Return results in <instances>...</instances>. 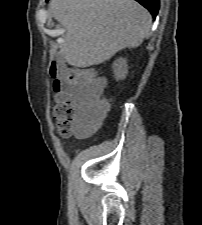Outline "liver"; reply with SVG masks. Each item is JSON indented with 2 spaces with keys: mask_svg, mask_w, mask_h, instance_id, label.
<instances>
[{
  "mask_svg": "<svg viewBox=\"0 0 202 225\" xmlns=\"http://www.w3.org/2000/svg\"><path fill=\"white\" fill-rule=\"evenodd\" d=\"M49 10L66 30L61 54L75 67L98 65L138 47L152 23L134 0H51Z\"/></svg>",
  "mask_w": 202,
  "mask_h": 225,
  "instance_id": "6515ba94",
  "label": "liver"
}]
</instances>
